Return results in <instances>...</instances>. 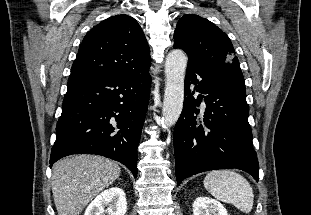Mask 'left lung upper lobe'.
<instances>
[{
	"instance_id": "left-lung-upper-lobe-1",
	"label": "left lung upper lobe",
	"mask_w": 311,
	"mask_h": 215,
	"mask_svg": "<svg viewBox=\"0 0 311 215\" xmlns=\"http://www.w3.org/2000/svg\"><path fill=\"white\" fill-rule=\"evenodd\" d=\"M174 48L183 49L189 58L225 85L246 91L239 60L229 37L209 20L184 15L177 23Z\"/></svg>"
}]
</instances>
